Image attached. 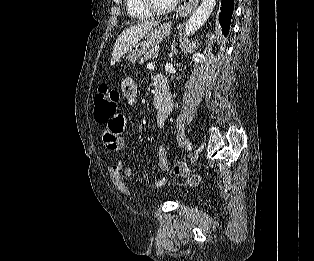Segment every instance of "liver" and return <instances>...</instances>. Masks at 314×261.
Returning a JSON list of instances; mask_svg holds the SVG:
<instances>
[{"instance_id": "1", "label": "liver", "mask_w": 314, "mask_h": 261, "mask_svg": "<svg viewBox=\"0 0 314 261\" xmlns=\"http://www.w3.org/2000/svg\"><path fill=\"white\" fill-rule=\"evenodd\" d=\"M158 24L159 21H148L129 27L122 31L114 44L111 57V65H114L125 53H127Z\"/></svg>"}]
</instances>
